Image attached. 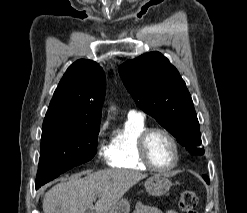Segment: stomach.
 <instances>
[{
    "mask_svg": "<svg viewBox=\"0 0 247 213\" xmlns=\"http://www.w3.org/2000/svg\"><path fill=\"white\" fill-rule=\"evenodd\" d=\"M145 189L149 195L162 196L166 194L171 186V181L163 175L155 174L149 177L144 183ZM130 204L126 199L119 200L115 205L103 211V213H129Z\"/></svg>",
    "mask_w": 247,
    "mask_h": 213,
    "instance_id": "1",
    "label": "stomach"
}]
</instances>
